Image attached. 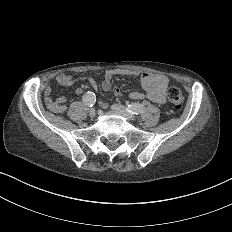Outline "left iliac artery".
<instances>
[{
  "label": "left iliac artery",
  "instance_id": "obj_1",
  "mask_svg": "<svg viewBox=\"0 0 232 232\" xmlns=\"http://www.w3.org/2000/svg\"><path fill=\"white\" fill-rule=\"evenodd\" d=\"M127 111L131 114H140L143 113L144 107L138 103H132L127 107Z\"/></svg>",
  "mask_w": 232,
  "mask_h": 232
}]
</instances>
